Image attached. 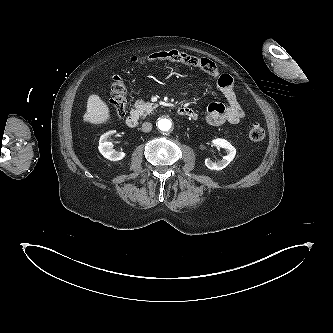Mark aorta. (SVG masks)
<instances>
[{"mask_svg": "<svg viewBox=\"0 0 333 333\" xmlns=\"http://www.w3.org/2000/svg\"><path fill=\"white\" fill-rule=\"evenodd\" d=\"M157 126H158L159 130H161L163 132H166V131H169L171 129L172 123H171L170 119L161 118L158 121Z\"/></svg>", "mask_w": 333, "mask_h": 333, "instance_id": "aorta-1", "label": "aorta"}]
</instances>
